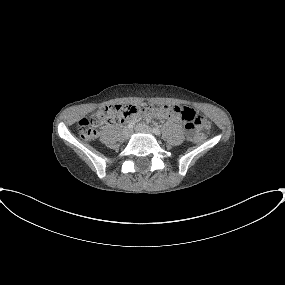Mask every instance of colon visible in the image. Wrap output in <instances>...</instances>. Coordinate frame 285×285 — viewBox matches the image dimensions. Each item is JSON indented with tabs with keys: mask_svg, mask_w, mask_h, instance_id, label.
Listing matches in <instances>:
<instances>
[{
	"mask_svg": "<svg viewBox=\"0 0 285 285\" xmlns=\"http://www.w3.org/2000/svg\"><path fill=\"white\" fill-rule=\"evenodd\" d=\"M178 106H150V105H105L98 108L93 114L79 121V134L83 140H92L98 134V128L112 121H119L124 117L142 116L152 113L176 112ZM183 120L187 128L188 137L192 140L201 138L200 128H210V122L194 111L183 108Z\"/></svg>",
	"mask_w": 285,
	"mask_h": 285,
	"instance_id": "colon-1",
	"label": "colon"
}]
</instances>
